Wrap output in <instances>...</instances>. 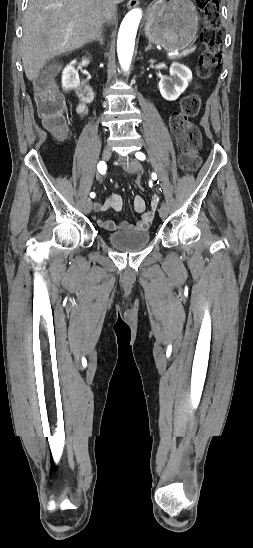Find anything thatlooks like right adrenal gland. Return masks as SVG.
I'll return each mask as SVG.
<instances>
[{"instance_id":"right-adrenal-gland-1","label":"right adrenal gland","mask_w":253,"mask_h":548,"mask_svg":"<svg viewBox=\"0 0 253 548\" xmlns=\"http://www.w3.org/2000/svg\"><path fill=\"white\" fill-rule=\"evenodd\" d=\"M102 32H103V31H102V29H101L100 32L98 33V35H97L94 39H92L91 42H93V41H99V43L103 45L104 41H103Z\"/></svg>"}]
</instances>
